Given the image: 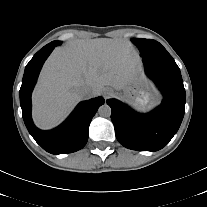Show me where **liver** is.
Wrapping results in <instances>:
<instances>
[{"instance_id":"1","label":"liver","mask_w":207,"mask_h":207,"mask_svg":"<svg viewBox=\"0 0 207 207\" xmlns=\"http://www.w3.org/2000/svg\"><path fill=\"white\" fill-rule=\"evenodd\" d=\"M139 55L124 39L74 40L56 48L46 61L33 92V119L49 129L82 99L78 89L87 86L98 96L104 86L124 90L136 74Z\"/></svg>"}]
</instances>
